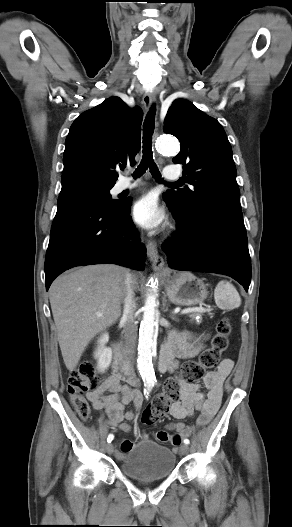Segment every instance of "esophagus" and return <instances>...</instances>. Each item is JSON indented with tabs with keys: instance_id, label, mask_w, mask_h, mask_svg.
Here are the masks:
<instances>
[{
	"instance_id": "1",
	"label": "esophagus",
	"mask_w": 292,
	"mask_h": 527,
	"mask_svg": "<svg viewBox=\"0 0 292 527\" xmlns=\"http://www.w3.org/2000/svg\"><path fill=\"white\" fill-rule=\"evenodd\" d=\"M156 101V94L154 92H150L144 95L143 97V103L147 110H149L153 103ZM147 256L149 260L152 263V267L154 270H161L164 265V259L159 255L157 245L154 241H148L147 243Z\"/></svg>"
}]
</instances>
